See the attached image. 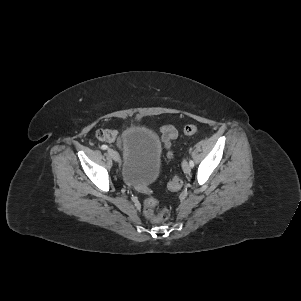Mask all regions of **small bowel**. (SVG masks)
<instances>
[{
	"label": "small bowel",
	"mask_w": 301,
	"mask_h": 301,
	"mask_svg": "<svg viewBox=\"0 0 301 301\" xmlns=\"http://www.w3.org/2000/svg\"><path fill=\"white\" fill-rule=\"evenodd\" d=\"M178 136V130L172 126L167 125L161 129V139L166 148L171 146L172 141Z\"/></svg>",
	"instance_id": "1"
}]
</instances>
